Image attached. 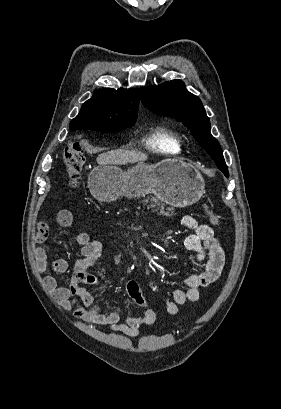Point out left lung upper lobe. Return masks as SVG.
<instances>
[{
  "label": "left lung upper lobe",
  "instance_id": "left-lung-upper-lobe-1",
  "mask_svg": "<svg viewBox=\"0 0 281 409\" xmlns=\"http://www.w3.org/2000/svg\"><path fill=\"white\" fill-rule=\"evenodd\" d=\"M142 103L152 112L177 119L191 130L195 140L210 154L217 167L229 176L221 147L210 133V121L201 100L188 92L181 80L140 88Z\"/></svg>",
  "mask_w": 281,
  "mask_h": 409
}]
</instances>
